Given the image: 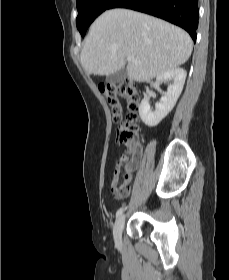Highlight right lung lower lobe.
I'll return each instance as SVG.
<instances>
[{
	"instance_id": "obj_1",
	"label": "right lung lower lobe",
	"mask_w": 229,
	"mask_h": 280,
	"mask_svg": "<svg viewBox=\"0 0 229 280\" xmlns=\"http://www.w3.org/2000/svg\"><path fill=\"white\" fill-rule=\"evenodd\" d=\"M198 0H115L108 9L128 8L144 12L185 29L192 39L197 38Z\"/></svg>"
}]
</instances>
